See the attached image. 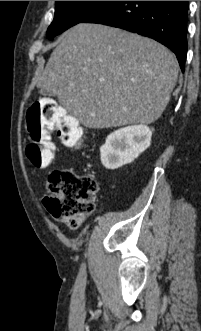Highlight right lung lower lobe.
<instances>
[{
	"label": "right lung lower lobe",
	"mask_w": 201,
	"mask_h": 331,
	"mask_svg": "<svg viewBox=\"0 0 201 331\" xmlns=\"http://www.w3.org/2000/svg\"><path fill=\"white\" fill-rule=\"evenodd\" d=\"M188 1H108L82 22L122 28L157 40L184 71Z\"/></svg>",
	"instance_id": "right-lung-lower-lobe-1"
}]
</instances>
